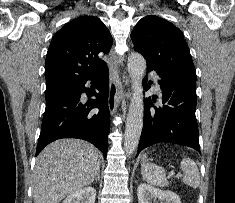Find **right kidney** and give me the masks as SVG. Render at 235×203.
<instances>
[{
  "label": "right kidney",
  "mask_w": 235,
  "mask_h": 203,
  "mask_svg": "<svg viewBox=\"0 0 235 203\" xmlns=\"http://www.w3.org/2000/svg\"><path fill=\"white\" fill-rule=\"evenodd\" d=\"M96 190L93 187H85L66 197L62 203H95Z\"/></svg>",
  "instance_id": "obj_1"
}]
</instances>
